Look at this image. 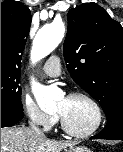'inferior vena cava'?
I'll return each instance as SVG.
<instances>
[{
    "label": "inferior vena cava",
    "mask_w": 123,
    "mask_h": 152,
    "mask_svg": "<svg viewBox=\"0 0 123 152\" xmlns=\"http://www.w3.org/2000/svg\"><path fill=\"white\" fill-rule=\"evenodd\" d=\"M31 130H33L37 135L44 136V133L39 129L38 124L35 122H30Z\"/></svg>",
    "instance_id": "obj_1"
}]
</instances>
